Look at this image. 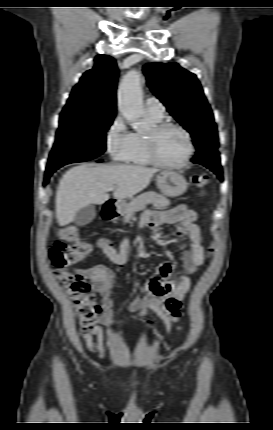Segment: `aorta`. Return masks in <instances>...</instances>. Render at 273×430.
Instances as JSON below:
<instances>
[{
  "label": "aorta",
  "mask_w": 273,
  "mask_h": 430,
  "mask_svg": "<svg viewBox=\"0 0 273 430\" xmlns=\"http://www.w3.org/2000/svg\"><path fill=\"white\" fill-rule=\"evenodd\" d=\"M119 110L136 130L145 127L142 117L145 114L140 75L137 71L129 72L118 89Z\"/></svg>",
  "instance_id": "762f6f07"
}]
</instances>
